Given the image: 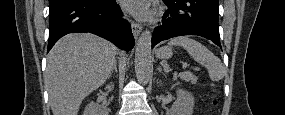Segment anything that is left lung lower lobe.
Listing matches in <instances>:
<instances>
[{
  "mask_svg": "<svg viewBox=\"0 0 285 115\" xmlns=\"http://www.w3.org/2000/svg\"><path fill=\"white\" fill-rule=\"evenodd\" d=\"M168 10L162 25L154 29L152 48L159 42L183 35L206 37L221 47L218 0H163Z\"/></svg>",
  "mask_w": 285,
  "mask_h": 115,
  "instance_id": "left-lung-lower-lobe-1",
  "label": "left lung lower lobe"
}]
</instances>
